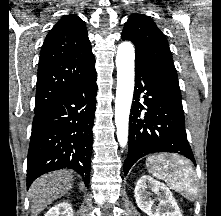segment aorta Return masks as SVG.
I'll return each instance as SVG.
<instances>
[{"label":"aorta","instance_id":"1","mask_svg":"<svg viewBox=\"0 0 221 216\" xmlns=\"http://www.w3.org/2000/svg\"><path fill=\"white\" fill-rule=\"evenodd\" d=\"M134 46L130 42L119 44L116 55L117 88L115 100V124L121 147L128 142V124L134 91Z\"/></svg>","mask_w":221,"mask_h":216}]
</instances>
